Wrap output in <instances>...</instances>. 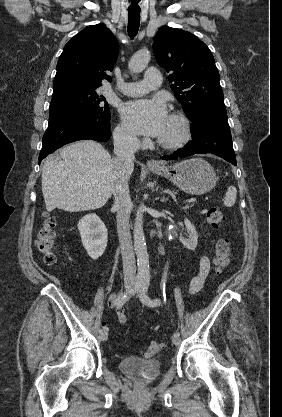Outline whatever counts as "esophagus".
<instances>
[{"mask_svg": "<svg viewBox=\"0 0 282 417\" xmlns=\"http://www.w3.org/2000/svg\"><path fill=\"white\" fill-rule=\"evenodd\" d=\"M147 165H148V167H159L158 163H156L153 160H148Z\"/></svg>", "mask_w": 282, "mask_h": 417, "instance_id": "34e87169", "label": "esophagus"}]
</instances>
